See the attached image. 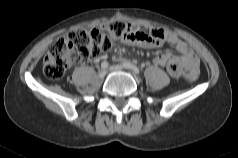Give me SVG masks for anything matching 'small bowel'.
<instances>
[{
	"instance_id": "c3829d8e",
	"label": "small bowel",
	"mask_w": 238,
	"mask_h": 158,
	"mask_svg": "<svg viewBox=\"0 0 238 158\" xmlns=\"http://www.w3.org/2000/svg\"><path fill=\"white\" fill-rule=\"evenodd\" d=\"M131 26L133 34L125 41L127 44L141 48H158L167 42L176 48L179 54L165 52L153 60L154 64L166 67L172 76L178 77L184 68L199 66V59L193 50L176 34L161 28L150 27L143 30L136 24H131Z\"/></svg>"
}]
</instances>
